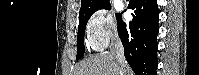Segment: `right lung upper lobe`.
Segmentation results:
<instances>
[{"label": "right lung upper lobe", "mask_w": 199, "mask_h": 75, "mask_svg": "<svg viewBox=\"0 0 199 75\" xmlns=\"http://www.w3.org/2000/svg\"><path fill=\"white\" fill-rule=\"evenodd\" d=\"M106 3H109V0H81L79 16L85 15Z\"/></svg>", "instance_id": "cb5924a9"}]
</instances>
